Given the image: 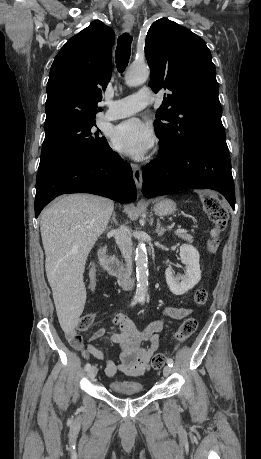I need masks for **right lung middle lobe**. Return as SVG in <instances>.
<instances>
[{
  "mask_svg": "<svg viewBox=\"0 0 261 459\" xmlns=\"http://www.w3.org/2000/svg\"><path fill=\"white\" fill-rule=\"evenodd\" d=\"M94 126L95 119L64 122L45 128L37 176L63 162L100 155L108 143Z\"/></svg>",
  "mask_w": 261,
  "mask_h": 459,
  "instance_id": "right-lung-middle-lobe-1",
  "label": "right lung middle lobe"
}]
</instances>
